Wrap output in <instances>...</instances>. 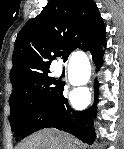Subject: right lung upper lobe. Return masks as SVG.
<instances>
[{
    "label": "right lung upper lobe",
    "mask_w": 124,
    "mask_h": 149,
    "mask_svg": "<svg viewBox=\"0 0 124 149\" xmlns=\"http://www.w3.org/2000/svg\"><path fill=\"white\" fill-rule=\"evenodd\" d=\"M105 27L92 0H49L35 18L20 30L14 45L10 81L13 89L49 71L55 57H68L105 39Z\"/></svg>",
    "instance_id": "obj_1"
}]
</instances>
